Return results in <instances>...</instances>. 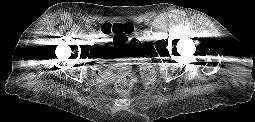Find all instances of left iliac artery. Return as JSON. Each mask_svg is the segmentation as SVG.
I'll use <instances>...</instances> for the list:
<instances>
[{"mask_svg":"<svg viewBox=\"0 0 255 122\" xmlns=\"http://www.w3.org/2000/svg\"><path fill=\"white\" fill-rule=\"evenodd\" d=\"M152 27H149L148 30L146 31L149 35L152 33Z\"/></svg>","mask_w":255,"mask_h":122,"instance_id":"left-iliac-artery-1","label":"left iliac artery"}]
</instances>
